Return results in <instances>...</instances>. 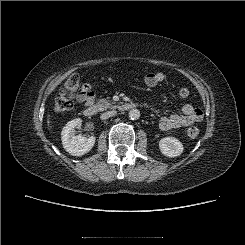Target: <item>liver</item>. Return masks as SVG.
Segmentation results:
<instances>
[{
    "instance_id": "6515ba94",
    "label": "liver",
    "mask_w": 245,
    "mask_h": 245,
    "mask_svg": "<svg viewBox=\"0 0 245 245\" xmlns=\"http://www.w3.org/2000/svg\"><path fill=\"white\" fill-rule=\"evenodd\" d=\"M47 123H48V126H49V125H50V120H49V117H48ZM49 127H50V126H49Z\"/></svg>"
}]
</instances>
